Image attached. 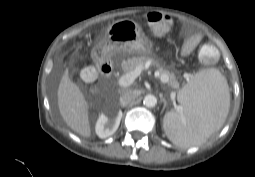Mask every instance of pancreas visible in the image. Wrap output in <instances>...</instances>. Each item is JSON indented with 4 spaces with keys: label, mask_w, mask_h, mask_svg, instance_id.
<instances>
[{
    "label": "pancreas",
    "mask_w": 255,
    "mask_h": 177,
    "mask_svg": "<svg viewBox=\"0 0 255 177\" xmlns=\"http://www.w3.org/2000/svg\"><path fill=\"white\" fill-rule=\"evenodd\" d=\"M149 60L150 57L146 55L128 58L122 62V69L125 73H130L134 71L138 66H144ZM159 78L163 83H168V85L172 88H178L179 86L174 73H171L168 70L159 68Z\"/></svg>",
    "instance_id": "1"
}]
</instances>
